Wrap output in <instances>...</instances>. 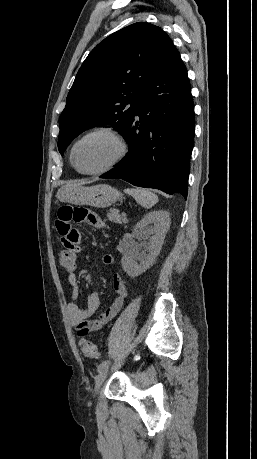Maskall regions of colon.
Segmentation results:
<instances>
[{
  "instance_id": "colon-1",
  "label": "colon",
  "mask_w": 257,
  "mask_h": 459,
  "mask_svg": "<svg viewBox=\"0 0 257 459\" xmlns=\"http://www.w3.org/2000/svg\"><path fill=\"white\" fill-rule=\"evenodd\" d=\"M59 262L65 269H74L76 266V251H65L63 247L59 254ZM79 346L84 356L88 358L97 357V347L93 342L87 339H82L79 342Z\"/></svg>"
}]
</instances>
